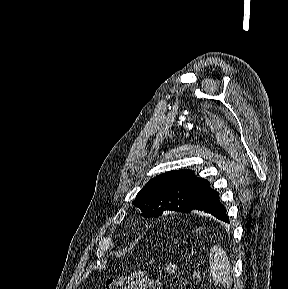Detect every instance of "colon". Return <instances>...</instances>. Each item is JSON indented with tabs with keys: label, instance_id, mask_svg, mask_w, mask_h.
Here are the masks:
<instances>
[{
	"label": "colon",
	"instance_id": "colon-1",
	"mask_svg": "<svg viewBox=\"0 0 288 289\" xmlns=\"http://www.w3.org/2000/svg\"><path fill=\"white\" fill-rule=\"evenodd\" d=\"M105 289H162L160 281L150 278L144 271L136 270L110 280Z\"/></svg>",
	"mask_w": 288,
	"mask_h": 289
}]
</instances>
